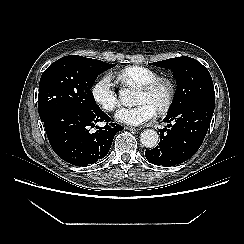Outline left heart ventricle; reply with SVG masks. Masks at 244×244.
I'll list each match as a JSON object with an SVG mask.
<instances>
[{"label":"left heart ventricle","instance_id":"obj_1","mask_svg":"<svg viewBox=\"0 0 244 244\" xmlns=\"http://www.w3.org/2000/svg\"><path fill=\"white\" fill-rule=\"evenodd\" d=\"M166 89L164 87L158 88L153 93L147 94L142 91H138L136 97V103H147L151 105L155 110L163 104L166 98Z\"/></svg>","mask_w":244,"mask_h":244}]
</instances>
